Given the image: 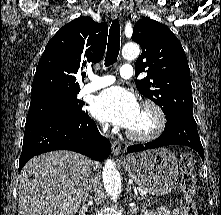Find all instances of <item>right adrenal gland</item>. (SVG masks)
I'll return each mask as SVG.
<instances>
[{
	"label": "right adrenal gland",
	"mask_w": 221,
	"mask_h": 215,
	"mask_svg": "<svg viewBox=\"0 0 221 215\" xmlns=\"http://www.w3.org/2000/svg\"><path fill=\"white\" fill-rule=\"evenodd\" d=\"M92 183L90 182L85 189V199L89 196V192L91 191Z\"/></svg>",
	"instance_id": "1"
}]
</instances>
